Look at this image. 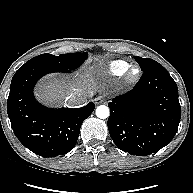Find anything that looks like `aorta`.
<instances>
[{
	"mask_svg": "<svg viewBox=\"0 0 193 193\" xmlns=\"http://www.w3.org/2000/svg\"><path fill=\"white\" fill-rule=\"evenodd\" d=\"M110 115V110L105 105H100L96 108V116L101 119H106Z\"/></svg>",
	"mask_w": 193,
	"mask_h": 193,
	"instance_id": "1",
	"label": "aorta"
}]
</instances>
